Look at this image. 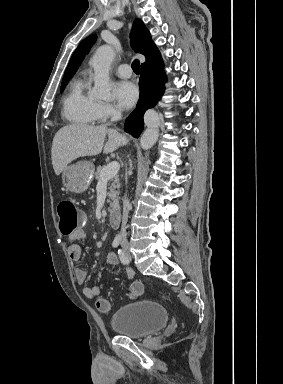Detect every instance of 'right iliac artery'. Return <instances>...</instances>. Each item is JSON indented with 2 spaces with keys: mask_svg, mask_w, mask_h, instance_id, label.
Wrapping results in <instances>:
<instances>
[{
  "mask_svg": "<svg viewBox=\"0 0 283 384\" xmlns=\"http://www.w3.org/2000/svg\"><path fill=\"white\" fill-rule=\"evenodd\" d=\"M119 243H120V237L116 236L115 239L113 240L112 246L116 248L118 247Z\"/></svg>",
  "mask_w": 283,
  "mask_h": 384,
  "instance_id": "obj_1",
  "label": "right iliac artery"
}]
</instances>
